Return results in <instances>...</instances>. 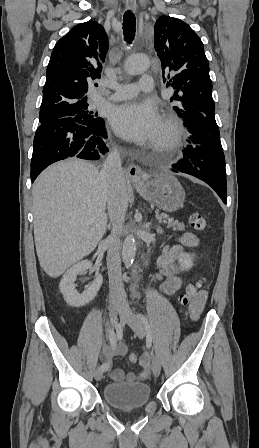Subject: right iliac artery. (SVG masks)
Here are the masks:
<instances>
[{"instance_id": "obj_1", "label": "right iliac artery", "mask_w": 259, "mask_h": 448, "mask_svg": "<svg viewBox=\"0 0 259 448\" xmlns=\"http://www.w3.org/2000/svg\"><path fill=\"white\" fill-rule=\"evenodd\" d=\"M108 332H109L108 335H109L110 344H111V346H114L116 344V341H117L115 332L111 328H109ZM109 366H110L109 362H106V363L101 365L100 369H101L102 372H105L106 370H108Z\"/></svg>"}]
</instances>
